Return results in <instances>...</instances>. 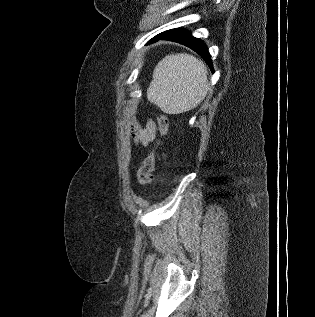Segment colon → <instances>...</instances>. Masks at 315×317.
Returning <instances> with one entry per match:
<instances>
[{"mask_svg": "<svg viewBox=\"0 0 315 317\" xmlns=\"http://www.w3.org/2000/svg\"><path fill=\"white\" fill-rule=\"evenodd\" d=\"M169 120L166 114L161 113L158 118L160 137L156 141L153 150L146 156L137 172V181L140 186L148 185L153 180V173L156 168L157 153L163 143V137L167 134Z\"/></svg>", "mask_w": 315, "mask_h": 317, "instance_id": "obj_1", "label": "colon"}]
</instances>
